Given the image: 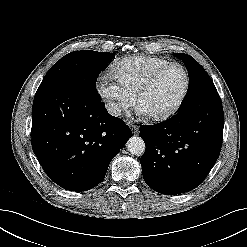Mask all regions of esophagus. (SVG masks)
I'll use <instances>...</instances> for the list:
<instances>
[{"instance_id": "obj_1", "label": "esophagus", "mask_w": 247, "mask_h": 247, "mask_svg": "<svg viewBox=\"0 0 247 247\" xmlns=\"http://www.w3.org/2000/svg\"><path fill=\"white\" fill-rule=\"evenodd\" d=\"M130 128L133 132L134 135L138 134L139 132V127L137 125H134V124H130Z\"/></svg>"}]
</instances>
